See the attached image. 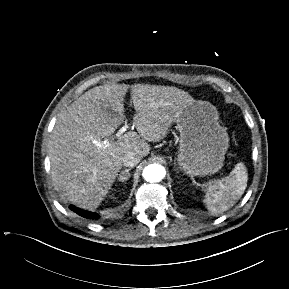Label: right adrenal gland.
<instances>
[{
    "mask_svg": "<svg viewBox=\"0 0 289 289\" xmlns=\"http://www.w3.org/2000/svg\"><path fill=\"white\" fill-rule=\"evenodd\" d=\"M131 169H125L124 171H121V173L119 174V177H118V181L120 182H125L129 179L130 177V171Z\"/></svg>",
    "mask_w": 289,
    "mask_h": 289,
    "instance_id": "right-adrenal-gland-1",
    "label": "right adrenal gland"
}]
</instances>
